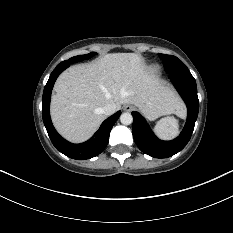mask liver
<instances>
[{
  "label": "liver",
  "instance_id": "obj_1",
  "mask_svg": "<svg viewBox=\"0 0 233 233\" xmlns=\"http://www.w3.org/2000/svg\"><path fill=\"white\" fill-rule=\"evenodd\" d=\"M133 104L150 119L166 114L182 115L178 97L146 71L135 53H112L72 66L57 79L51 100V118L67 140L80 143L90 138L106 118L100 109Z\"/></svg>",
  "mask_w": 233,
  "mask_h": 233
}]
</instances>
